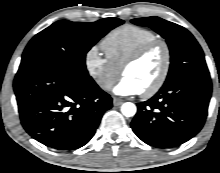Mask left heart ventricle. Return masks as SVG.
<instances>
[{
	"label": "left heart ventricle",
	"mask_w": 220,
	"mask_h": 173,
	"mask_svg": "<svg viewBox=\"0 0 220 173\" xmlns=\"http://www.w3.org/2000/svg\"><path fill=\"white\" fill-rule=\"evenodd\" d=\"M164 65V50L159 47L151 51L138 63L128 67L124 76L132 78L142 92L149 89L159 77Z\"/></svg>",
	"instance_id": "1"
}]
</instances>
